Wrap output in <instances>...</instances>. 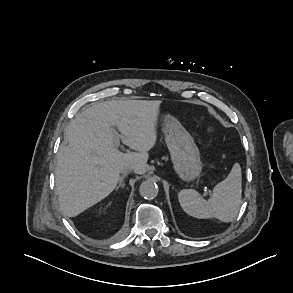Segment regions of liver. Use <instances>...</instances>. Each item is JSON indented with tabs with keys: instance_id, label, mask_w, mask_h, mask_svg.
Instances as JSON below:
<instances>
[{
	"instance_id": "obj_1",
	"label": "liver",
	"mask_w": 293,
	"mask_h": 293,
	"mask_svg": "<svg viewBox=\"0 0 293 293\" xmlns=\"http://www.w3.org/2000/svg\"><path fill=\"white\" fill-rule=\"evenodd\" d=\"M161 101L112 100L86 107L65 129L68 145L57 153L56 188L60 209L75 217L106 198L133 166L146 172L148 151L157 140ZM123 144L137 152L123 153L115 145L114 128Z\"/></svg>"
}]
</instances>
